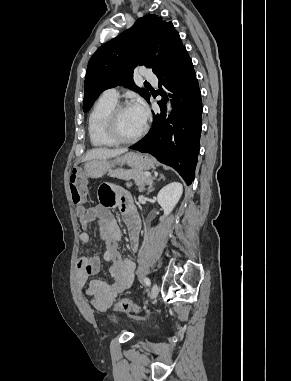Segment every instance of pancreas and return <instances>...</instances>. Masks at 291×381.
Returning a JSON list of instances; mask_svg holds the SVG:
<instances>
[{
  "instance_id": "1",
  "label": "pancreas",
  "mask_w": 291,
  "mask_h": 381,
  "mask_svg": "<svg viewBox=\"0 0 291 381\" xmlns=\"http://www.w3.org/2000/svg\"><path fill=\"white\" fill-rule=\"evenodd\" d=\"M108 175L110 177L119 178L122 180H130L133 179L135 184L138 186H142L144 184L151 183V177H146L144 171H139L135 169L125 170V169H115L109 171Z\"/></svg>"
}]
</instances>
